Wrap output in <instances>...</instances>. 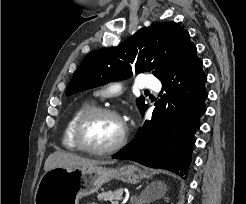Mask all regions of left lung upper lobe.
Masks as SVG:
<instances>
[{"label": "left lung upper lobe", "instance_id": "obj_1", "mask_svg": "<svg viewBox=\"0 0 246 204\" xmlns=\"http://www.w3.org/2000/svg\"><path fill=\"white\" fill-rule=\"evenodd\" d=\"M193 45L188 32L177 23H154L116 47L89 53L68 84L66 95L129 78L134 72H153L162 80ZM137 102L143 111L144 97Z\"/></svg>", "mask_w": 246, "mask_h": 204}]
</instances>
